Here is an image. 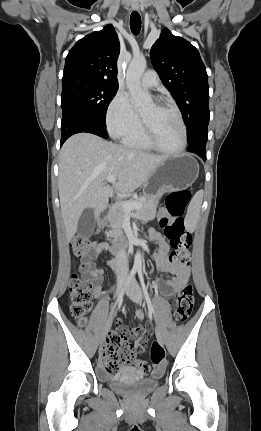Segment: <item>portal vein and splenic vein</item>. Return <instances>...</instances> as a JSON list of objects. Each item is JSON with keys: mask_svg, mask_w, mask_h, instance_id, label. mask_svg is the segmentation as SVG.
Wrapping results in <instances>:
<instances>
[{"mask_svg": "<svg viewBox=\"0 0 261 431\" xmlns=\"http://www.w3.org/2000/svg\"><path fill=\"white\" fill-rule=\"evenodd\" d=\"M116 179H117V177L116 176H113V175H110V176H108L107 178H106V180L109 182V183H114L115 181H116ZM121 206H123L124 207V209L128 212V211H131V210H133V209H139V208H141L142 207V204L141 203H139V202H126V201H123V202H120L119 203Z\"/></svg>", "mask_w": 261, "mask_h": 431, "instance_id": "portal-vein-and-splenic-vein-1", "label": "portal vein and splenic vein"}]
</instances>
